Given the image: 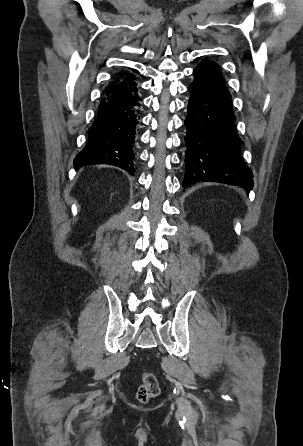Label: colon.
Here are the masks:
<instances>
[{"label": "colon", "instance_id": "5ec220e1", "mask_svg": "<svg viewBox=\"0 0 303 446\" xmlns=\"http://www.w3.org/2000/svg\"><path fill=\"white\" fill-rule=\"evenodd\" d=\"M160 388L156 376L151 372L142 373V383L137 390V399L141 403H147L159 394Z\"/></svg>", "mask_w": 303, "mask_h": 446}]
</instances>
